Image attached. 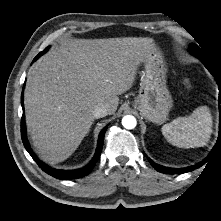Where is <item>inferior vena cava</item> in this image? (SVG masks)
I'll use <instances>...</instances> for the list:
<instances>
[{
  "mask_svg": "<svg viewBox=\"0 0 221 221\" xmlns=\"http://www.w3.org/2000/svg\"><path fill=\"white\" fill-rule=\"evenodd\" d=\"M108 114H109V109L104 104H98L93 111V115L97 119L105 117Z\"/></svg>",
  "mask_w": 221,
  "mask_h": 221,
  "instance_id": "1",
  "label": "inferior vena cava"
}]
</instances>
